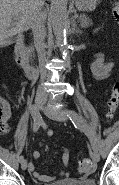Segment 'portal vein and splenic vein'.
Wrapping results in <instances>:
<instances>
[{
    "label": "portal vein and splenic vein",
    "mask_w": 119,
    "mask_h": 185,
    "mask_svg": "<svg viewBox=\"0 0 119 185\" xmlns=\"http://www.w3.org/2000/svg\"><path fill=\"white\" fill-rule=\"evenodd\" d=\"M18 17V15H15V18H17ZM78 17V15H75V18H77Z\"/></svg>",
    "instance_id": "portal-vein-and-splenic-vein-1"
}]
</instances>
